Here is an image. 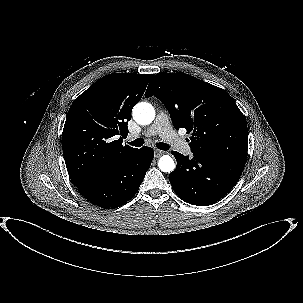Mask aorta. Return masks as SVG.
Returning <instances> with one entry per match:
<instances>
[{
    "label": "aorta",
    "mask_w": 303,
    "mask_h": 303,
    "mask_svg": "<svg viewBox=\"0 0 303 303\" xmlns=\"http://www.w3.org/2000/svg\"><path fill=\"white\" fill-rule=\"evenodd\" d=\"M133 118L138 124L148 125L155 118V110L150 103H138L133 108ZM158 167L162 172H172L175 163L169 155H163L158 161Z\"/></svg>",
    "instance_id": "aorta-1"
}]
</instances>
